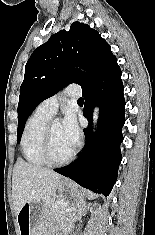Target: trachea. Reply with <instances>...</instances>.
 <instances>
[{"label":"trachea","mask_w":155,"mask_h":235,"mask_svg":"<svg viewBox=\"0 0 155 235\" xmlns=\"http://www.w3.org/2000/svg\"><path fill=\"white\" fill-rule=\"evenodd\" d=\"M78 102H79V103H83V98H79V99H78Z\"/></svg>","instance_id":"1"}]
</instances>
